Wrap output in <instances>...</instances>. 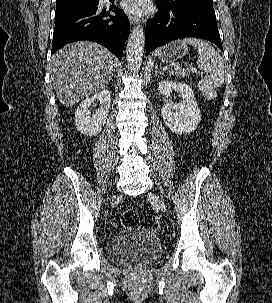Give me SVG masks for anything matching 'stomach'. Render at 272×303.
Wrapping results in <instances>:
<instances>
[{
  "label": "stomach",
  "instance_id": "obj_1",
  "mask_svg": "<svg viewBox=\"0 0 272 303\" xmlns=\"http://www.w3.org/2000/svg\"><path fill=\"white\" fill-rule=\"evenodd\" d=\"M188 52V47L180 40L174 41L158 50V58L162 62H174L184 57Z\"/></svg>",
  "mask_w": 272,
  "mask_h": 303
}]
</instances>
